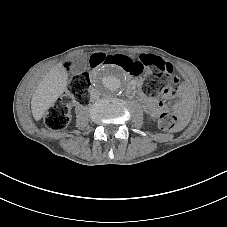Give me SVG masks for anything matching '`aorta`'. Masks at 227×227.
<instances>
[{"label":"aorta","mask_w":227,"mask_h":227,"mask_svg":"<svg viewBox=\"0 0 227 227\" xmlns=\"http://www.w3.org/2000/svg\"><path fill=\"white\" fill-rule=\"evenodd\" d=\"M124 86V75L116 66H104L95 74L93 87L104 97L119 95L123 91Z\"/></svg>","instance_id":"762f6f07"}]
</instances>
